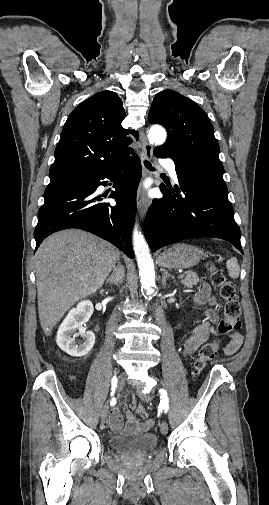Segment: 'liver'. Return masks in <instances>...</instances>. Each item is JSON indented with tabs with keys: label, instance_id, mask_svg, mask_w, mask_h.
Masks as SVG:
<instances>
[{
	"label": "liver",
	"instance_id": "1",
	"mask_svg": "<svg viewBox=\"0 0 269 505\" xmlns=\"http://www.w3.org/2000/svg\"><path fill=\"white\" fill-rule=\"evenodd\" d=\"M107 241L77 229L46 238L35 254L40 325L46 335L79 300L101 288L119 259Z\"/></svg>",
	"mask_w": 269,
	"mask_h": 505
}]
</instances>
